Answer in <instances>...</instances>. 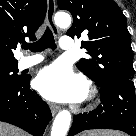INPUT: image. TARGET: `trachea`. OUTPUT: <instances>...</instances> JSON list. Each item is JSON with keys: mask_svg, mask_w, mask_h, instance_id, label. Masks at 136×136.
<instances>
[{"mask_svg": "<svg viewBox=\"0 0 136 136\" xmlns=\"http://www.w3.org/2000/svg\"><path fill=\"white\" fill-rule=\"evenodd\" d=\"M24 49H31L33 52H41L47 48H56L55 40L52 31L47 27L43 36L35 43L24 45Z\"/></svg>", "mask_w": 136, "mask_h": 136, "instance_id": "obj_1", "label": "trachea"}]
</instances>
